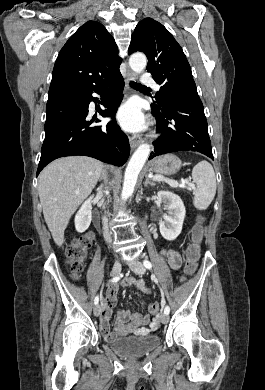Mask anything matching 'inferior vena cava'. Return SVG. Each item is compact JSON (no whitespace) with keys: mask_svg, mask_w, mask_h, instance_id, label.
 <instances>
[{"mask_svg":"<svg viewBox=\"0 0 265 390\" xmlns=\"http://www.w3.org/2000/svg\"><path fill=\"white\" fill-rule=\"evenodd\" d=\"M102 221H103V235H104V239H105V241L107 243H111L112 239H111V236H110V233H109V229H108V220H107L106 217H103Z\"/></svg>","mask_w":265,"mask_h":390,"instance_id":"602c4592","label":"inferior vena cava"}]
</instances>
